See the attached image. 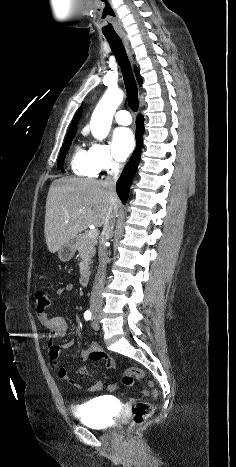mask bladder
<instances>
[{
  "label": "bladder",
  "mask_w": 236,
  "mask_h": 467,
  "mask_svg": "<svg viewBox=\"0 0 236 467\" xmlns=\"http://www.w3.org/2000/svg\"><path fill=\"white\" fill-rule=\"evenodd\" d=\"M114 408L113 402L107 397H97L75 407L74 412L84 424L92 428H107L112 425L106 410Z\"/></svg>",
  "instance_id": "obj_1"
}]
</instances>
